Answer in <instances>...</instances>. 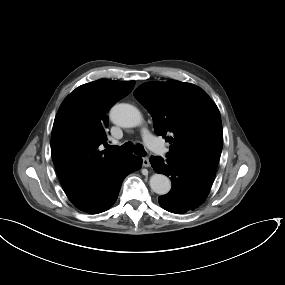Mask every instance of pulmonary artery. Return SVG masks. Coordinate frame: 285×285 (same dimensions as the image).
<instances>
[{"label":"pulmonary artery","instance_id":"obj_1","mask_svg":"<svg viewBox=\"0 0 285 285\" xmlns=\"http://www.w3.org/2000/svg\"><path fill=\"white\" fill-rule=\"evenodd\" d=\"M142 137H143V140L145 141V143L147 145H149L150 147H152L156 152H158V153L164 152V148L159 144V142L156 140V138L154 136L143 131Z\"/></svg>","mask_w":285,"mask_h":285}]
</instances>
